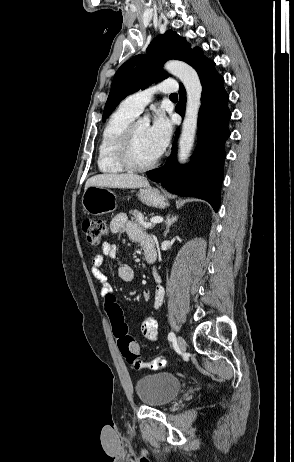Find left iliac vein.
<instances>
[{
    "mask_svg": "<svg viewBox=\"0 0 294 462\" xmlns=\"http://www.w3.org/2000/svg\"><path fill=\"white\" fill-rule=\"evenodd\" d=\"M177 345H178V348L184 352L186 350V341L185 339L182 337V336H178L177 338Z\"/></svg>",
    "mask_w": 294,
    "mask_h": 462,
    "instance_id": "4c4485c4",
    "label": "left iliac vein"
}]
</instances>
